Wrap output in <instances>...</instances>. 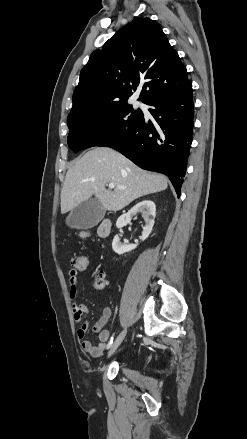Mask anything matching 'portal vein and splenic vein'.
Returning <instances> with one entry per match:
<instances>
[{"label":"portal vein and splenic vein","mask_w":247,"mask_h":439,"mask_svg":"<svg viewBox=\"0 0 247 439\" xmlns=\"http://www.w3.org/2000/svg\"><path fill=\"white\" fill-rule=\"evenodd\" d=\"M109 188L110 189H114L115 188V184L114 183H109ZM119 189H124V187L122 186H118Z\"/></svg>","instance_id":"18ae733b"}]
</instances>
